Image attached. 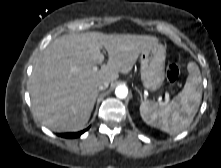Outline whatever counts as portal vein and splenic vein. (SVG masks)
<instances>
[{
  "instance_id": "obj_1",
  "label": "portal vein and splenic vein",
  "mask_w": 221,
  "mask_h": 168,
  "mask_svg": "<svg viewBox=\"0 0 221 168\" xmlns=\"http://www.w3.org/2000/svg\"><path fill=\"white\" fill-rule=\"evenodd\" d=\"M93 70H94V71H97L98 68H97L96 66H94V67H93ZM168 101H169V95L166 94L165 101L163 102V104H164V105H167V104H168Z\"/></svg>"
}]
</instances>
